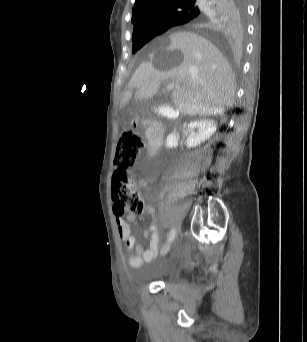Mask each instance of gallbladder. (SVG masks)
I'll list each match as a JSON object with an SVG mask.
<instances>
[{"label":"gallbladder","mask_w":307,"mask_h":342,"mask_svg":"<svg viewBox=\"0 0 307 342\" xmlns=\"http://www.w3.org/2000/svg\"><path fill=\"white\" fill-rule=\"evenodd\" d=\"M150 98L147 95H137L135 100L137 102H147ZM162 113H164L166 118H177L179 116V109L177 107L172 108L169 103H159L156 106Z\"/></svg>","instance_id":"bac80fb5"}]
</instances>
